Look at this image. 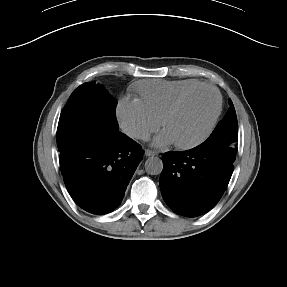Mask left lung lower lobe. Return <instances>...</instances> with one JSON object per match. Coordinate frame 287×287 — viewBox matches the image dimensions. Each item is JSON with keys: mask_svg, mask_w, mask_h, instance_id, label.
I'll use <instances>...</instances> for the list:
<instances>
[{"mask_svg": "<svg viewBox=\"0 0 287 287\" xmlns=\"http://www.w3.org/2000/svg\"><path fill=\"white\" fill-rule=\"evenodd\" d=\"M162 161L163 199L173 211L187 217L199 216L214 207L233 172V163L205 143L183 152L169 151Z\"/></svg>", "mask_w": 287, "mask_h": 287, "instance_id": "obj_1", "label": "left lung lower lobe"}]
</instances>
